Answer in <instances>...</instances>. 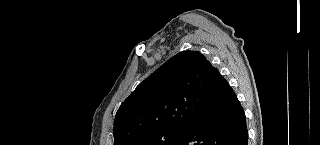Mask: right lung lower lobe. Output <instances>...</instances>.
Here are the masks:
<instances>
[{"label": "right lung lower lobe", "mask_w": 320, "mask_h": 145, "mask_svg": "<svg viewBox=\"0 0 320 145\" xmlns=\"http://www.w3.org/2000/svg\"><path fill=\"white\" fill-rule=\"evenodd\" d=\"M220 100L205 118L189 124L172 145H247L248 131L244 110L224 79Z\"/></svg>", "instance_id": "right-lung-lower-lobe-1"}]
</instances>
